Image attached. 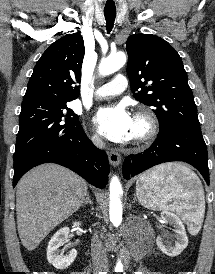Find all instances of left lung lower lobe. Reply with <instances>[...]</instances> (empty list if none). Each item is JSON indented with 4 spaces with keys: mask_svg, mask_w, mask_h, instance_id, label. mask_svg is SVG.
<instances>
[{
    "mask_svg": "<svg viewBox=\"0 0 215 274\" xmlns=\"http://www.w3.org/2000/svg\"><path fill=\"white\" fill-rule=\"evenodd\" d=\"M172 161L194 166L209 185L208 154L201 130L184 126L160 129L157 139L148 149L125 158L123 175L129 179L155 165Z\"/></svg>",
    "mask_w": 215,
    "mask_h": 274,
    "instance_id": "1",
    "label": "left lung lower lobe"
}]
</instances>
